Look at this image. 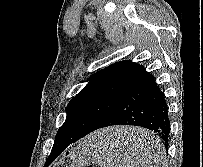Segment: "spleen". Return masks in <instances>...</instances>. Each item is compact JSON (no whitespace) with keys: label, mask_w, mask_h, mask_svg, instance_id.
I'll return each instance as SVG.
<instances>
[{"label":"spleen","mask_w":203,"mask_h":167,"mask_svg":"<svg viewBox=\"0 0 203 167\" xmlns=\"http://www.w3.org/2000/svg\"><path fill=\"white\" fill-rule=\"evenodd\" d=\"M113 139L102 132H96L79 145V152L101 167H132L129 163L114 160L111 150ZM138 167H167L165 149L158 137L148 134L140 144Z\"/></svg>","instance_id":"1"}]
</instances>
